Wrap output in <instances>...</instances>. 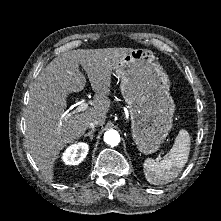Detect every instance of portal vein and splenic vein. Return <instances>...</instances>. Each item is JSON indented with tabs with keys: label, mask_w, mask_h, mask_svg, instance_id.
Returning <instances> with one entry per match:
<instances>
[{
	"label": "portal vein and splenic vein",
	"mask_w": 221,
	"mask_h": 221,
	"mask_svg": "<svg viewBox=\"0 0 221 221\" xmlns=\"http://www.w3.org/2000/svg\"><path fill=\"white\" fill-rule=\"evenodd\" d=\"M88 108H89V105L87 102L80 101L78 107L75 110H73L72 113H66V117H69L75 113L83 112V111L87 110Z\"/></svg>",
	"instance_id": "1"
}]
</instances>
